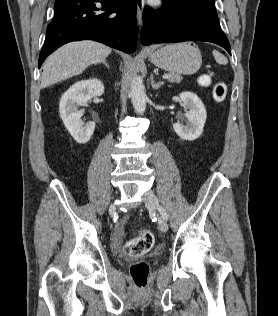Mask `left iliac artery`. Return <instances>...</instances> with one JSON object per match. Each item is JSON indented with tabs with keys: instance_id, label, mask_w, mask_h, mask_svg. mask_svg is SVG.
Listing matches in <instances>:
<instances>
[{
	"instance_id": "1",
	"label": "left iliac artery",
	"mask_w": 278,
	"mask_h": 316,
	"mask_svg": "<svg viewBox=\"0 0 278 316\" xmlns=\"http://www.w3.org/2000/svg\"><path fill=\"white\" fill-rule=\"evenodd\" d=\"M158 209H159V211H160L162 217H163L165 220H167V219H168V215H167L165 209H164L163 207H159Z\"/></svg>"
}]
</instances>
